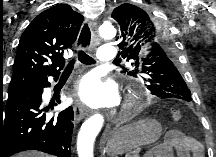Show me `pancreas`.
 Here are the masks:
<instances>
[{
	"mask_svg": "<svg viewBox=\"0 0 216 157\" xmlns=\"http://www.w3.org/2000/svg\"><path fill=\"white\" fill-rule=\"evenodd\" d=\"M139 152L140 149H136L135 151L128 153L126 157H139Z\"/></svg>",
	"mask_w": 216,
	"mask_h": 157,
	"instance_id": "obj_1",
	"label": "pancreas"
}]
</instances>
